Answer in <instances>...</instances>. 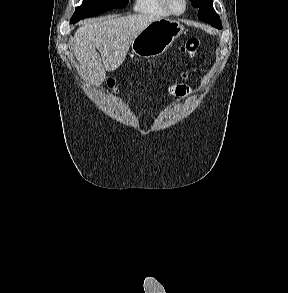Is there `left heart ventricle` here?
<instances>
[{
  "label": "left heart ventricle",
  "instance_id": "b2bd125f",
  "mask_svg": "<svg viewBox=\"0 0 288 293\" xmlns=\"http://www.w3.org/2000/svg\"><path fill=\"white\" fill-rule=\"evenodd\" d=\"M169 3L175 11H181L183 9L182 0H169Z\"/></svg>",
  "mask_w": 288,
  "mask_h": 293
}]
</instances>
